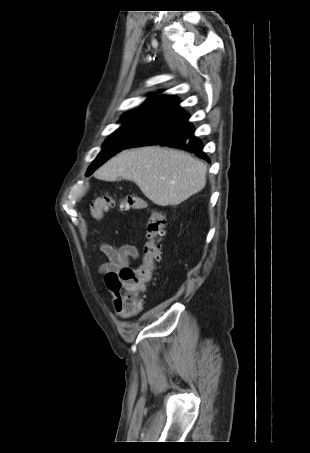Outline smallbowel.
Listing matches in <instances>:
<instances>
[{"label":"small bowel","mask_w":310,"mask_h":453,"mask_svg":"<svg viewBox=\"0 0 310 453\" xmlns=\"http://www.w3.org/2000/svg\"><path fill=\"white\" fill-rule=\"evenodd\" d=\"M100 250L108 259V262L102 264L98 270L105 277L112 273L118 274L123 268L128 267L131 259L137 260L140 257L137 247L133 244H124L115 248L110 243L102 241ZM104 284L106 286L105 281Z\"/></svg>","instance_id":"obj_1"}]
</instances>
